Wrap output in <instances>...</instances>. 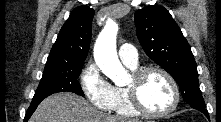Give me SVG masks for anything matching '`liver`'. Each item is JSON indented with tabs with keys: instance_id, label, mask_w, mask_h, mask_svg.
Masks as SVG:
<instances>
[{
	"instance_id": "1",
	"label": "liver",
	"mask_w": 221,
	"mask_h": 122,
	"mask_svg": "<svg viewBox=\"0 0 221 122\" xmlns=\"http://www.w3.org/2000/svg\"><path fill=\"white\" fill-rule=\"evenodd\" d=\"M29 122H139L108 116L94 109L84 98L64 92L44 99Z\"/></svg>"
}]
</instances>
